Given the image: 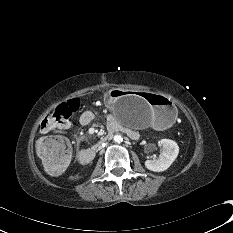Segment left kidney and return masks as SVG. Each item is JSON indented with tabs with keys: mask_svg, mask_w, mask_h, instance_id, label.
I'll return each mask as SVG.
<instances>
[{
	"mask_svg": "<svg viewBox=\"0 0 233 233\" xmlns=\"http://www.w3.org/2000/svg\"><path fill=\"white\" fill-rule=\"evenodd\" d=\"M158 143L162 146L158 159L145 161V167L154 172H162L168 169L179 153V146L173 140L161 139Z\"/></svg>",
	"mask_w": 233,
	"mask_h": 233,
	"instance_id": "obj_1",
	"label": "left kidney"
}]
</instances>
